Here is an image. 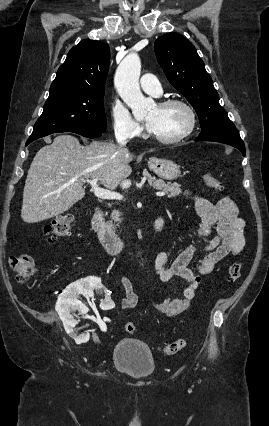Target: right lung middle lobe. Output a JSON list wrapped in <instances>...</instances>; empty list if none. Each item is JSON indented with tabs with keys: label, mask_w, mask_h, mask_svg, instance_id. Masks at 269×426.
<instances>
[{
	"label": "right lung middle lobe",
	"mask_w": 269,
	"mask_h": 426,
	"mask_svg": "<svg viewBox=\"0 0 269 426\" xmlns=\"http://www.w3.org/2000/svg\"><path fill=\"white\" fill-rule=\"evenodd\" d=\"M103 98L104 95L90 93H50L28 140L83 128L103 132L107 126Z\"/></svg>",
	"instance_id": "1"
}]
</instances>
